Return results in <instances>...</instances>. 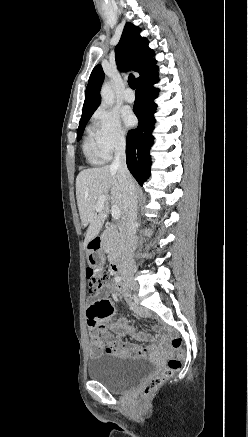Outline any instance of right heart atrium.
<instances>
[{
    "instance_id": "1",
    "label": "right heart atrium",
    "mask_w": 248,
    "mask_h": 437,
    "mask_svg": "<svg viewBox=\"0 0 248 437\" xmlns=\"http://www.w3.org/2000/svg\"><path fill=\"white\" fill-rule=\"evenodd\" d=\"M90 133L92 139L104 159L111 157L113 152L125 146L126 135L116 113L100 108L91 118Z\"/></svg>"
}]
</instances>
